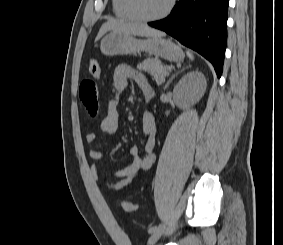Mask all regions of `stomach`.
<instances>
[{
    "label": "stomach",
    "mask_w": 283,
    "mask_h": 245,
    "mask_svg": "<svg viewBox=\"0 0 283 245\" xmlns=\"http://www.w3.org/2000/svg\"><path fill=\"white\" fill-rule=\"evenodd\" d=\"M100 49L104 55L108 56L137 54L145 51L169 61L180 62L184 59V52L180 47L161 37L137 39L134 35L111 32L102 39Z\"/></svg>",
    "instance_id": "obj_1"
}]
</instances>
